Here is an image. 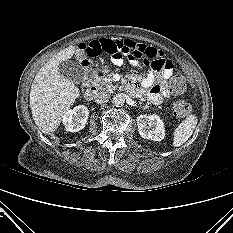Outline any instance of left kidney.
Returning <instances> with one entry per match:
<instances>
[{
	"label": "left kidney",
	"instance_id": "left-kidney-1",
	"mask_svg": "<svg viewBox=\"0 0 233 233\" xmlns=\"http://www.w3.org/2000/svg\"><path fill=\"white\" fill-rule=\"evenodd\" d=\"M138 132L144 139L161 141L165 137L164 123L156 114L137 117Z\"/></svg>",
	"mask_w": 233,
	"mask_h": 233
}]
</instances>
